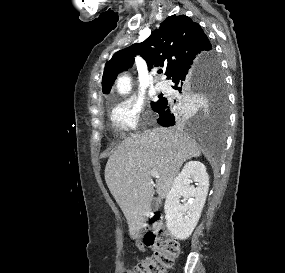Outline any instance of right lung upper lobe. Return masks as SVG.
I'll use <instances>...</instances> for the list:
<instances>
[{"label":"right lung upper lobe","mask_w":285,"mask_h":273,"mask_svg":"<svg viewBox=\"0 0 285 273\" xmlns=\"http://www.w3.org/2000/svg\"><path fill=\"white\" fill-rule=\"evenodd\" d=\"M136 54L145 59L149 69L164 66L167 79H171L201 58L210 57L214 50L198 23L186 15L169 16L144 42L118 51L107 62L102 78L103 93L109 94L117 74L133 65ZM180 107L184 108L181 104Z\"/></svg>","instance_id":"right-lung-upper-lobe-1"}]
</instances>
